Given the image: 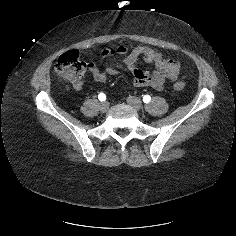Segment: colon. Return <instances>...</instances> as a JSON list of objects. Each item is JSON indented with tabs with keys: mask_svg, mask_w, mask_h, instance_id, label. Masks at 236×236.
I'll return each instance as SVG.
<instances>
[{
	"mask_svg": "<svg viewBox=\"0 0 236 236\" xmlns=\"http://www.w3.org/2000/svg\"><path fill=\"white\" fill-rule=\"evenodd\" d=\"M86 69V63L80 59L78 52L74 50L64 53L55 62V72L75 87L82 84ZM184 87L185 82L183 81L174 84L175 90H182Z\"/></svg>",
	"mask_w": 236,
	"mask_h": 236,
	"instance_id": "obj_1",
	"label": "colon"
}]
</instances>
